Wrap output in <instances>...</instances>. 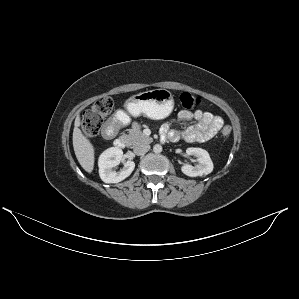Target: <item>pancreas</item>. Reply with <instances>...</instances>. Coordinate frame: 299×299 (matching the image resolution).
I'll return each instance as SVG.
<instances>
[{
  "mask_svg": "<svg viewBox=\"0 0 299 299\" xmlns=\"http://www.w3.org/2000/svg\"><path fill=\"white\" fill-rule=\"evenodd\" d=\"M128 143L132 146H137L142 143H151L152 138L143 134L140 127L136 124L129 130V134L126 135Z\"/></svg>",
  "mask_w": 299,
  "mask_h": 299,
  "instance_id": "pancreas-1",
  "label": "pancreas"
}]
</instances>
